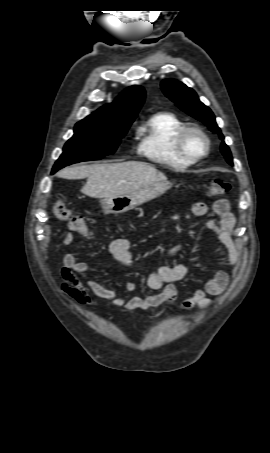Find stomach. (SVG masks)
Instances as JSON below:
<instances>
[{
	"mask_svg": "<svg viewBox=\"0 0 270 453\" xmlns=\"http://www.w3.org/2000/svg\"><path fill=\"white\" fill-rule=\"evenodd\" d=\"M170 188V183L167 181H159L143 188H140L129 194L120 195L111 198H103L101 207L104 214H121L135 207L148 202Z\"/></svg>",
	"mask_w": 270,
	"mask_h": 453,
	"instance_id": "stomach-1",
	"label": "stomach"
}]
</instances>
